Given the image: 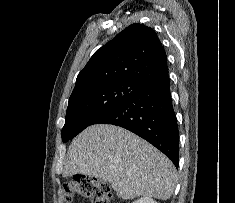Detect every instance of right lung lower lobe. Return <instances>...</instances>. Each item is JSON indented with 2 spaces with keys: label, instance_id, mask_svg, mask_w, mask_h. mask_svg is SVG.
<instances>
[{
  "label": "right lung lower lobe",
  "instance_id": "obj_1",
  "mask_svg": "<svg viewBox=\"0 0 235 203\" xmlns=\"http://www.w3.org/2000/svg\"><path fill=\"white\" fill-rule=\"evenodd\" d=\"M112 124L137 134L163 152L178 168L179 131L168 73L154 80L94 124Z\"/></svg>",
  "mask_w": 235,
  "mask_h": 203
}]
</instances>
